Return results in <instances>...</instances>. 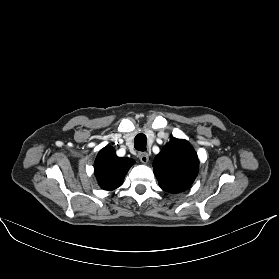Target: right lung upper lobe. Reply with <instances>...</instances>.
<instances>
[{"label": "right lung upper lobe", "mask_w": 279, "mask_h": 279, "mask_svg": "<svg viewBox=\"0 0 279 279\" xmlns=\"http://www.w3.org/2000/svg\"><path fill=\"white\" fill-rule=\"evenodd\" d=\"M135 163L131 158H120L112 146H106L98 153L94 163V174L100 187L114 190L122 185L130 167Z\"/></svg>", "instance_id": "obj_1"}]
</instances>
